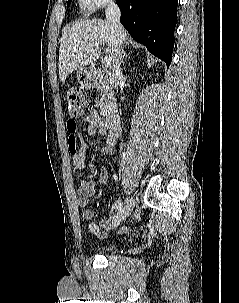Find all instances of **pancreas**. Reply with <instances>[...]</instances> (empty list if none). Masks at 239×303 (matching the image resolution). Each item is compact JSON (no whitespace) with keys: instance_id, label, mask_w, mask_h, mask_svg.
I'll return each instance as SVG.
<instances>
[{"instance_id":"obj_1","label":"pancreas","mask_w":239,"mask_h":303,"mask_svg":"<svg viewBox=\"0 0 239 303\" xmlns=\"http://www.w3.org/2000/svg\"><path fill=\"white\" fill-rule=\"evenodd\" d=\"M98 86L101 88L102 97L99 101V106L101 108V114L103 116L108 115L111 107H112V90L109 85L105 83V81H101L98 83Z\"/></svg>"}]
</instances>
